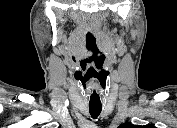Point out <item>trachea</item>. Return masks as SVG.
Returning a JSON list of instances; mask_svg holds the SVG:
<instances>
[{
    "label": "trachea",
    "mask_w": 177,
    "mask_h": 128,
    "mask_svg": "<svg viewBox=\"0 0 177 128\" xmlns=\"http://www.w3.org/2000/svg\"><path fill=\"white\" fill-rule=\"evenodd\" d=\"M102 107L101 106H90L89 105V112L93 119H96L101 113Z\"/></svg>",
    "instance_id": "1"
}]
</instances>
